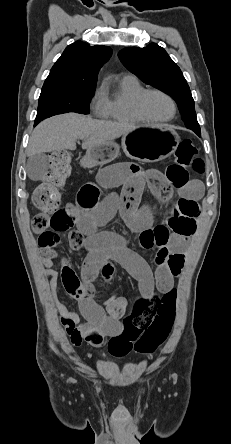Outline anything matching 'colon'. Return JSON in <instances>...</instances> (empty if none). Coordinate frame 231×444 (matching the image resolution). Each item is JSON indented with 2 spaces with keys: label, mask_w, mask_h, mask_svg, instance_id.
Masks as SVG:
<instances>
[{
  "label": "colon",
  "mask_w": 231,
  "mask_h": 444,
  "mask_svg": "<svg viewBox=\"0 0 231 444\" xmlns=\"http://www.w3.org/2000/svg\"><path fill=\"white\" fill-rule=\"evenodd\" d=\"M69 156L66 153H54L50 156V170L42 183L33 193V203L41 210L32 221V229L38 233L40 246L51 248L56 241L52 234L66 231L73 227L74 217L68 209H60L61 192L65 187L68 174ZM204 162L197 148L189 140L180 143L174 162L168 166L166 177L176 188H184L191 181L190 173L202 174ZM199 214L197 203L181 199L174 208L168 226H157L155 233L165 236L173 232L189 237L196 229V217ZM62 283L65 290L74 297L83 292L82 284L64 257L61 258ZM176 292L171 290L160 296L154 293L150 298L139 300L132 312L122 320L123 331L111 337L108 343L110 355L121 358L136 351L141 354L154 353L168 338L175 316Z\"/></svg>",
  "instance_id": "5ec220e1"
}]
</instances>
